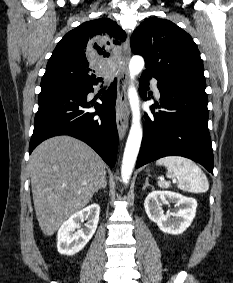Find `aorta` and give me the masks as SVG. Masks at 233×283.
<instances>
[{"label":"aorta","instance_id":"aorta-1","mask_svg":"<svg viewBox=\"0 0 233 283\" xmlns=\"http://www.w3.org/2000/svg\"><path fill=\"white\" fill-rule=\"evenodd\" d=\"M143 67L144 59L141 56L135 55L131 58L129 63L131 85L128 89V99L132 111V124L127 138L121 166V177L125 184L128 183L133 172L142 141L139 96L136 88L134 87L133 81L142 71Z\"/></svg>","mask_w":233,"mask_h":283}]
</instances>
